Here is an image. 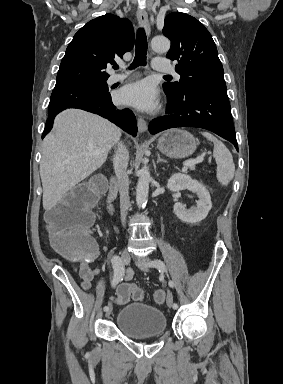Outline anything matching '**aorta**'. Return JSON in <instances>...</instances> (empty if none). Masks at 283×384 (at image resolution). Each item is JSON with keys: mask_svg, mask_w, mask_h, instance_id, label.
Instances as JSON below:
<instances>
[{"mask_svg": "<svg viewBox=\"0 0 283 384\" xmlns=\"http://www.w3.org/2000/svg\"><path fill=\"white\" fill-rule=\"evenodd\" d=\"M151 47L155 52L165 53L170 49V41L166 37L157 36L152 39ZM150 181L149 167L145 164L139 171L136 188V202L139 208L145 207L147 203Z\"/></svg>", "mask_w": 283, "mask_h": 384, "instance_id": "1", "label": "aorta"}]
</instances>
